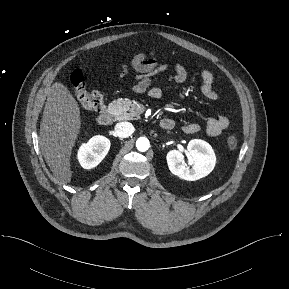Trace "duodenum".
<instances>
[{"label":"duodenum","mask_w":289,"mask_h":289,"mask_svg":"<svg viewBox=\"0 0 289 289\" xmlns=\"http://www.w3.org/2000/svg\"><path fill=\"white\" fill-rule=\"evenodd\" d=\"M97 122L101 126L111 125L113 122V113L109 110L100 112L97 116ZM160 126L164 130H171L174 127V122L169 118H163L160 120Z\"/></svg>","instance_id":"duodenum-1"}]
</instances>
